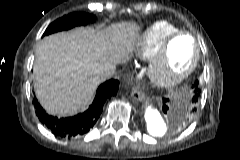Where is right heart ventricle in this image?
I'll return each instance as SVG.
<instances>
[{
  "instance_id": "obj_1",
  "label": "right heart ventricle",
  "mask_w": 240,
  "mask_h": 160,
  "mask_svg": "<svg viewBox=\"0 0 240 160\" xmlns=\"http://www.w3.org/2000/svg\"><path fill=\"white\" fill-rule=\"evenodd\" d=\"M178 31V27L167 21L153 23L139 36L135 55L141 60L148 61L157 53L163 42Z\"/></svg>"
}]
</instances>
